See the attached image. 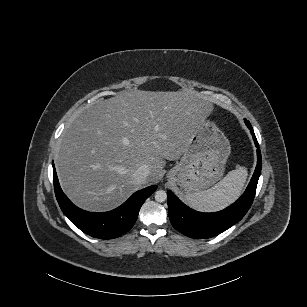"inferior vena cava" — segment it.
Segmentation results:
<instances>
[{
  "label": "inferior vena cava",
  "instance_id": "602c4592",
  "mask_svg": "<svg viewBox=\"0 0 307 307\" xmlns=\"http://www.w3.org/2000/svg\"><path fill=\"white\" fill-rule=\"evenodd\" d=\"M150 173L149 166L146 164L141 165L134 173L133 178L137 185L145 183Z\"/></svg>",
  "mask_w": 307,
  "mask_h": 307
}]
</instances>
